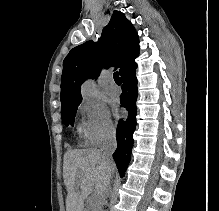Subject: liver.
<instances>
[{
	"label": "liver",
	"mask_w": 219,
	"mask_h": 211,
	"mask_svg": "<svg viewBox=\"0 0 219 211\" xmlns=\"http://www.w3.org/2000/svg\"><path fill=\"white\" fill-rule=\"evenodd\" d=\"M116 173L115 165L106 161L99 149H69L64 153L63 177L67 195L66 211H87L85 199L96 193L94 199L99 207L107 203L112 179ZM95 201V203H96Z\"/></svg>",
	"instance_id": "liver-1"
}]
</instances>
